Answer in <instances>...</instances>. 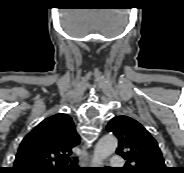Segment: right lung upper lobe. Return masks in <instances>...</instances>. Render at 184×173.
Returning <instances> with one entry per match:
<instances>
[{
  "label": "right lung upper lobe",
  "instance_id": "1",
  "mask_svg": "<svg viewBox=\"0 0 184 173\" xmlns=\"http://www.w3.org/2000/svg\"><path fill=\"white\" fill-rule=\"evenodd\" d=\"M79 143L69 115L50 116L23 139L11 170L13 173H66L72 148Z\"/></svg>",
  "mask_w": 184,
  "mask_h": 173
}]
</instances>
